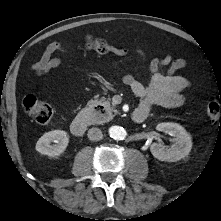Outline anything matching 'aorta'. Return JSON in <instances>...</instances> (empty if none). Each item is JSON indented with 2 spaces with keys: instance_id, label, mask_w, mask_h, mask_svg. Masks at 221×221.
<instances>
[{
  "instance_id": "obj_1",
  "label": "aorta",
  "mask_w": 221,
  "mask_h": 221,
  "mask_svg": "<svg viewBox=\"0 0 221 221\" xmlns=\"http://www.w3.org/2000/svg\"><path fill=\"white\" fill-rule=\"evenodd\" d=\"M109 134L113 139L123 140L126 136V131L120 126H112L109 129Z\"/></svg>"
}]
</instances>
